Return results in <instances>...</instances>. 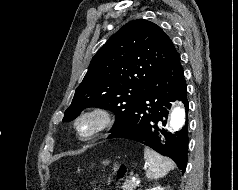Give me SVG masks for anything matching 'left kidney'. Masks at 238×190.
Listing matches in <instances>:
<instances>
[{
    "instance_id": "5707ae66",
    "label": "left kidney",
    "mask_w": 238,
    "mask_h": 190,
    "mask_svg": "<svg viewBox=\"0 0 238 190\" xmlns=\"http://www.w3.org/2000/svg\"><path fill=\"white\" fill-rule=\"evenodd\" d=\"M146 190H165V188H164V187L157 186V187H153V188L146 189Z\"/></svg>"
}]
</instances>
